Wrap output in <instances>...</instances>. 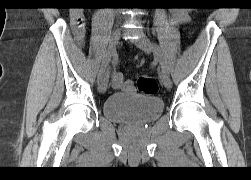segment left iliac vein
Returning <instances> with one entry per match:
<instances>
[{
  "mask_svg": "<svg viewBox=\"0 0 251 180\" xmlns=\"http://www.w3.org/2000/svg\"><path fill=\"white\" fill-rule=\"evenodd\" d=\"M134 43L137 47H139L141 50H143L147 54H150L153 50L151 41L144 34L140 35L139 39L135 40ZM160 80L166 88L168 89L171 88L172 81L167 72L162 71L160 73Z\"/></svg>",
  "mask_w": 251,
  "mask_h": 180,
  "instance_id": "4c4485c4",
  "label": "left iliac vein"
}]
</instances>
